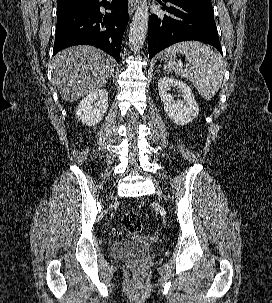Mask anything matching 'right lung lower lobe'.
I'll use <instances>...</instances> for the list:
<instances>
[{"mask_svg":"<svg viewBox=\"0 0 272 303\" xmlns=\"http://www.w3.org/2000/svg\"><path fill=\"white\" fill-rule=\"evenodd\" d=\"M110 9L102 14L100 7ZM129 20L127 0H93L80 7L57 14L53 54L74 45H93L119 62L122 37Z\"/></svg>","mask_w":272,"mask_h":303,"instance_id":"right-lung-lower-lobe-1","label":"right lung lower lobe"}]
</instances>
